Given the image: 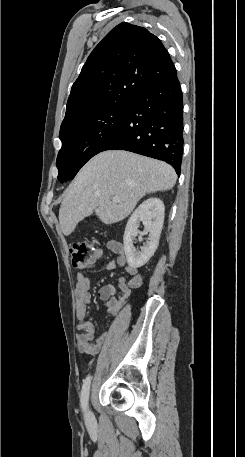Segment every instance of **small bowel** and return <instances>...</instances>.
I'll list each match as a JSON object with an SVG mask.
<instances>
[{
	"label": "small bowel",
	"instance_id": "c3829d8e",
	"mask_svg": "<svg viewBox=\"0 0 245 457\" xmlns=\"http://www.w3.org/2000/svg\"><path fill=\"white\" fill-rule=\"evenodd\" d=\"M107 246L114 253L118 254L115 260L101 264L103 270L110 271L117 266L124 268L128 273L129 279L119 277L116 286L104 284L98 293L99 299L105 302L108 312L111 316L117 317L123 309L131 290L138 288L142 284V275L138 268L129 264L123 254V246L116 240H110ZM100 252L85 266L92 267ZM91 280L84 274L79 273L76 277V317L79 321L77 333V347L80 353L87 355H96L103 347L112 348L119 345L125 335V328L118 324H112L105 332L95 339V326L87 319V306L91 300L90 290Z\"/></svg>",
	"mask_w": 245,
	"mask_h": 457
}]
</instances>
